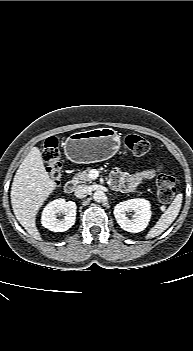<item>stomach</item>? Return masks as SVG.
Wrapping results in <instances>:
<instances>
[{
    "label": "stomach",
    "mask_w": 193,
    "mask_h": 351,
    "mask_svg": "<svg viewBox=\"0 0 193 351\" xmlns=\"http://www.w3.org/2000/svg\"><path fill=\"white\" fill-rule=\"evenodd\" d=\"M120 136L112 128H97L71 134L65 141L66 157L78 164L111 158L120 148Z\"/></svg>",
    "instance_id": "0dacf381"
}]
</instances>
